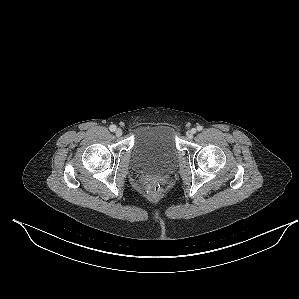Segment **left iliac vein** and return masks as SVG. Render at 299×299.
<instances>
[{
	"label": "left iliac vein",
	"instance_id": "4c4485c4",
	"mask_svg": "<svg viewBox=\"0 0 299 299\" xmlns=\"http://www.w3.org/2000/svg\"><path fill=\"white\" fill-rule=\"evenodd\" d=\"M196 133V130L195 129H191V130H188L187 132H186V136L189 138V139H191V138H193V135Z\"/></svg>",
	"mask_w": 299,
	"mask_h": 299
}]
</instances>
